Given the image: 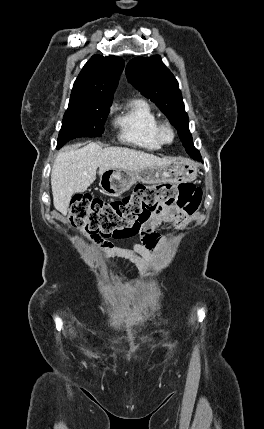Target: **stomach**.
Returning <instances> with one entry per match:
<instances>
[{"instance_id": "obj_1", "label": "stomach", "mask_w": 264, "mask_h": 429, "mask_svg": "<svg viewBox=\"0 0 264 429\" xmlns=\"http://www.w3.org/2000/svg\"><path fill=\"white\" fill-rule=\"evenodd\" d=\"M198 172L197 164L189 159H176L167 166L147 167L137 172L110 169L100 175L99 185L109 196H120L134 184L183 183L192 181Z\"/></svg>"}]
</instances>
